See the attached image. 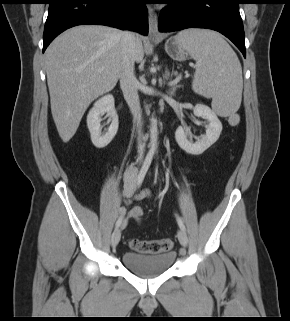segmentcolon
<instances>
[{"label":"colon","mask_w":290,"mask_h":321,"mask_svg":"<svg viewBox=\"0 0 290 321\" xmlns=\"http://www.w3.org/2000/svg\"><path fill=\"white\" fill-rule=\"evenodd\" d=\"M131 216L135 220L139 221L143 217V210L139 207H135L131 211ZM130 247L139 253L160 254L171 251L173 247V241L170 238L156 240L132 239L130 241Z\"/></svg>","instance_id":"5ec220e1"}]
</instances>
